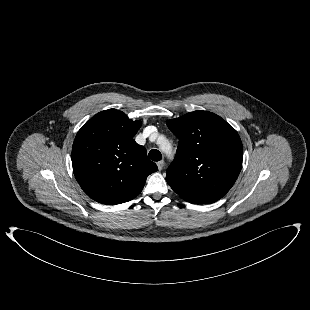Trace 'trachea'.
I'll return each instance as SVG.
<instances>
[{"label": "trachea", "instance_id": "trachea-1", "mask_svg": "<svg viewBox=\"0 0 310 310\" xmlns=\"http://www.w3.org/2000/svg\"><path fill=\"white\" fill-rule=\"evenodd\" d=\"M148 157L152 160V161H160L162 159V155L160 153L159 150L156 149H152L149 154Z\"/></svg>", "mask_w": 310, "mask_h": 310}]
</instances>
